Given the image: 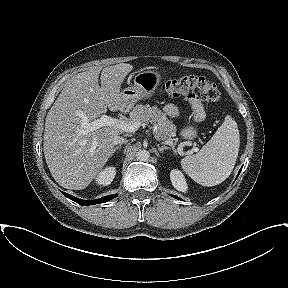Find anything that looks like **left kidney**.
I'll use <instances>...</instances> for the list:
<instances>
[{
    "label": "left kidney",
    "mask_w": 288,
    "mask_h": 288,
    "mask_svg": "<svg viewBox=\"0 0 288 288\" xmlns=\"http://www.w3.org/2000/svg\"><path fill=\"white\" fill-rule=\"evenodd\" d=\"M172 185L178 190L185 192L187 190L186 180L181 171L174 169L170 172Z\"/></svg>",
    "instance_id": "1"
}]
</instances>
